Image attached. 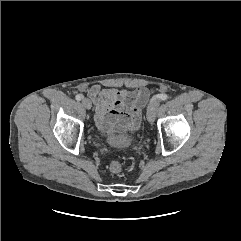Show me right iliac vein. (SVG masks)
<instances>
[{
  "label": "right iliac vein",
  "mask_w": 241,
  "mask_h": 241,
  "mask_svg": "<svg viewBox=\"0 0 241 241\" xmlns=\"http://www.w3.org/2000/svg\"><path fill=\"white\" fill-rule=\"evenodd\" d=\"M82 105L86 108V109H91L92 107V103L88 98H83L82 99Z\"/></svg>",
  "instance_id": "63e3f726"
}]
</instances>
